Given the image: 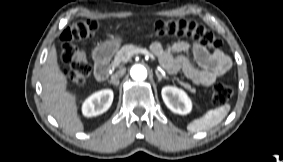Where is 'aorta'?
Instances as JSON below:
<instances>
[{
	"mask_svg": "<svg viewBox=\"0 0 283 162\" xmlns=\"http://www.w3.org/2000/svg\"><path fill=\"white\" fill-rule=\"evenodd\" d=\"M130 75L136 81H143L147 78V70L142 65H134L130 70Z\"/></svg>",
	"mask_w": 283,
	"mask_h": 162,
	"instance_id": "1",
	"label": "aorta"
}]
</instances>
